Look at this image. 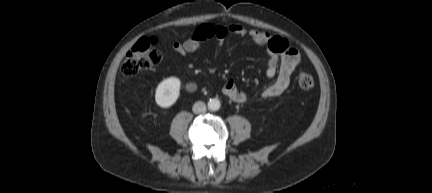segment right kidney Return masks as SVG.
<instances>
[{
  "label": "right kidney",
  "instance_id": "1",
  "mask_svg": "<svg viewBox=\"0 0 432 193\" xmlns=\"http://www.w3.org/2000/svg\"><path fill=\"white\" fill-rule=\"evenodd\" d=\"M181 81L177 77H169L158 84L155 101L162 108H169L177 101L180 94Z\"/></svg>",
  "mask_w": 432,
  "mask_h": 193
}]
</instances>
